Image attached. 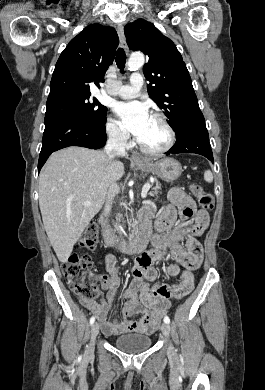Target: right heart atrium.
I'll list each match as a JSON object with an SVG mask.
<instances>
[{
  "label": "right heart atrium",
  "mask_w": 265,
  "mask_h": 390,
  "mask_svg": "<svg viewBox=\"0 0 265 390\" xmlns=\"http://www.w3.org/2000/svg\"><path fill=\"white\" fill-rule=\"evenodd\" d=\"M106 132L109 139L122 147H127L129 144V135L128 133L121 127L120 123L109 117L106 123Z\"/></svg>",
  "instance_id": "d8ad5b80"
}]
</instances>
